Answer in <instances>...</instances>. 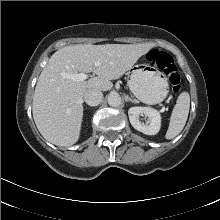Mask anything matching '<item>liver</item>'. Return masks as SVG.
Returning <instances> with one entry per match:
<instances>
[{"mask_svg":"<svg viewBox=\"0 0 220 220\" xmlns=\"http://www.w3.org/2000/svg\"><path fill=\"white\" fill-rule=\"evenodd\" d=\"M155 46L153 43L78 44L56 51L43 68L33 96V118L41 135L57 146L75 144L81 131L85 91L110 90L111 80L121 78ZM97 61L101 63L99 67L94 66ZM78 72H93L97 77L74 81L62 76V73Z\"/></svg>","mask_w":220,"mask_h":220,"instance_id":"1","label":"liver"}]
</instances>
